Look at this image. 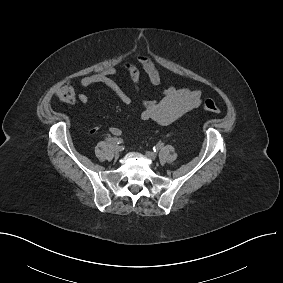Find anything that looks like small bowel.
I'll use <instances>...</instances> for the list:
<instances>
[{
	"mask_svg": "<svg viewBox=\"0 0 283 283\" xmlns=\"http://www.w3.org/2000/svg\"><path fill=\"white\" fill-rule=\"evenodd\" d=\"M137 64L126 61L123 66L127 71L130 80L138 90L141 80V70L147 75L150 85L157 86L162 81V74L153 60L143 54L137 56ZM117 71L114 67L104 68L101 71L84 76L80 79L82 87H88L93 84H102L108 87L117 98L126 105H131L133 99L121 86L115 81ZM202 95L198 90L187 88L167 87L158 100L145 99L142 101L143 109L140 117L142 120H152L160 125H168L187 112L196 109L201 104ZM78 100L82 104L88 102L86 94H79ZM95 131V130H93ZM110 133L114 136H120L122 129L117 126L110 127Z\"/></svg>",
	"mask_w": 283,
	"mask_h": 283,
	"instance_id": "obj_1",
	"label": "small bowel"
}]
</instances>
